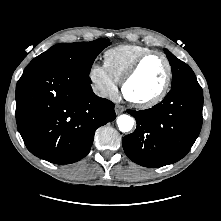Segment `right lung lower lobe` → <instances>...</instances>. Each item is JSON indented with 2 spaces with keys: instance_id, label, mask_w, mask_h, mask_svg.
Returning a JSON list of instances; mask_svg holds the SVG:
<instances>
[{
  "instance_id": "1",
  "label": "right lung lower lobe",
  "mask_w": 221,
  "mask_h": 221,
  "mask_svg": "<svg viewBox=\"0 0 221 221\" xmlns=\"http://www.w3.org/2000/svg\"><path fill=\"white\" fill-rule=\"evenodd\" d=\"M89 74L57 66L25 68L16 85V122L27 149L55 164L85 157L97 128L116 118Z\"/></svg>"
}]
</instances>
